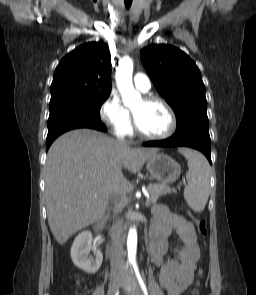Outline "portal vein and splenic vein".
Here are the masks:
<instances>
[{
    "label": "portal vein and splenic vein",
    "mask_w": 256,
    "mask_h": 295,
    "mask_svg": "<svg viewBox=\"0 0 256 295\" xmlns=\"http://www.w3.org/2000/svg\"><path fill=\"white\" fill-rule=\"evenodd\" d=\"M150 205V198H147L146 200V206Z\"/></svg>",
    "instance_id": "18ae733b"
}]
</instances>
